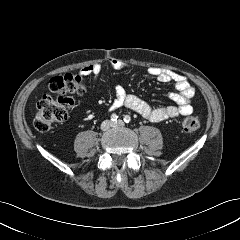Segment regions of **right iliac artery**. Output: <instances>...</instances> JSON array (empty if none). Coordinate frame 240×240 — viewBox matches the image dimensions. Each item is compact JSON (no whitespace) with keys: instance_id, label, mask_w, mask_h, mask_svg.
<instances>
[{"instance_id":"82829eb1","label":"right iliac artery","mask_w":240,"mask_h":240,"mask_svg":"<svg viewBox=\"0 0 240 240\" xmlns=\"http://www.w3.org/2000/svg\"><path fill=\"white\" fill-rule=\"evenodd\" d=\"M118 119V116L116 114L111 115V120L116 121Z\"/></svg>"}]
</instances>
